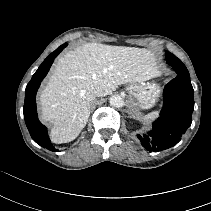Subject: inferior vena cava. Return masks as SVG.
Instances as JSON below:
<instances>
[{
	"label": "inferior vena cava",
	"instance_id": "inferior-vena-cava-1",
	"mask_svg": "<svg viewBox=\"0 0 211 211\" xmlns=\"http://www.w3.org/2000/svg\"><path fill=\"white\" fill-rule=\"evenodd\" d=\"M94 94H95V96L101 97L104 95V91L101 87L98 86L95 88Z\"/></svg>",
	"mask_w": 211,
	"mask_h": 211
}]
</instances>
